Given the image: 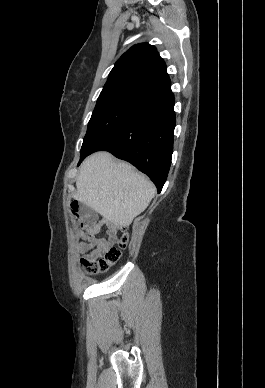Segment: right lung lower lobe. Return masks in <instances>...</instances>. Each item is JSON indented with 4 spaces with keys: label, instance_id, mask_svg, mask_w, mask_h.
<instances>
[{
    "label": "right lung lower lobe",
    "instance_id": "right-lung-lower-lobe-1",
    "mask_svg": "<svg viewBox=\"0 0 265 388\" xmlns=\"http://www.w3.org/2000/svg\"><path fill=\"white\" fill-rule=\"evenodd\" d=\"M174 103L171 89L149 99L124 123L96 143L87 155L99 150L111 152L147 174L160 192L173 152ZM86 156L80 158L78 165Z\"/></svg>",
    "mask_w": 265,
    "mask_h": 388
}]
</instances>
